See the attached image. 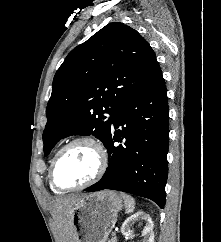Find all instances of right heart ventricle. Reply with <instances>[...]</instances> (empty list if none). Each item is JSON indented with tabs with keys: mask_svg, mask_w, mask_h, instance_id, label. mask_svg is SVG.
Wrapping results in <instances>:
<instances>
[{
	"mask_svg": "<svg viewBox=\"0 0 221 242\" xmlns=\"http://www.w3.org/2000/svg\"><path fill=\"white\" fill-rule=\"evenodd\" d=\"M56 153H57V151H56V152L54 153V155L52 156V159H53V157L55 156ZM51 161H52V160H51ZM50 187H51V189H52L54 192H59V190L53 188V187L51 186V184H50Z\"/></svg>",
	"mask_w": 221,
	"mask_h": 242,
	"instance_id": "right-heart-ventricle-1",
	"label": "right heart ventricle"
}]
</instances>
